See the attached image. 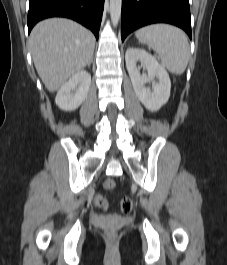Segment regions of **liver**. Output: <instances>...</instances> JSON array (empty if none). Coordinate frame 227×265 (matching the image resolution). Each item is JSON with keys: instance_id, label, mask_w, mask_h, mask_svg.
I'll use <instances>...</instances> for the list:
<instances>
[{"instance_id": "6515ba94", "label": "liver", "mask_w": 227, "mask_h": 265, "mask_svg": "<svg viewBox=\"0 0 227 265\" xmlns=\"http://www.w3.org/2000/svg\"><path fill=\"white\" fill-rule=\"evenodd\" d=\"M29 45L39 77L46 89L54 92L89 63L95 38L75 21L51 18L32 29Z\"/></svg>"}]
</instances>
